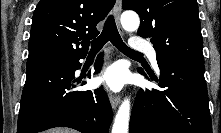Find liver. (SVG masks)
<instances>
[{
  "label": "liver",
  "instance_id": "1",
  "mask_svg": "<svg viewBox=\"0 0 221 133\" xmlns=\"http://www.w3.org/2000/svg\"><path fill=\"white\" fill-rule=\"evenodd\" d=\"M48 133H76V132L71 129L56 128V129L49 130Z\"/></svg>",
  "mask_w": 221,
  "mask_h": 133
}]
</instances>
